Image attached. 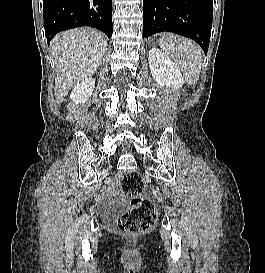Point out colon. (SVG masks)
Wrapping results in <instances>:
<instances>
[{"instance_id": "5ec220e1", "label": "colon", "mask_w": 265, "mask_h": 273, "mask_svg": "<svg viewBox=\"0 0 265 273\" xmlns=\"http://www.w3.org/2000/svg\"><path fill=\"white\" fill-rule=\"evenodd\" d=\"M123 192L130 198V207L116 222V229L123 234L149 232L156 224L158 212L150 199L141 196L144 183L140 173L126 172L121 179Z\"/></svg>"}]
</instances>
